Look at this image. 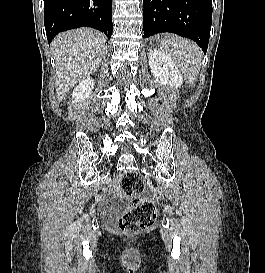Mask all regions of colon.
Masks as SVG:
<instances>
[{"label":"colon","instance_id":"5ec220e1","mask_svg":"<svg viewBox=\"0 0 265 273\" xmlns=\"http://www.w3.org/2000/svg\"><path fill=\"white\" fill-rule=\"evenodd\" d=\"M124 193L131 199L130 207L121 214L117 229L123 233H142L149 231L157 219L154 203L141 197L144 183L141 175L135 171L126 172L121 179Z\"/></svg>","mask_w":265,"mask_h":273}]
</instances>
